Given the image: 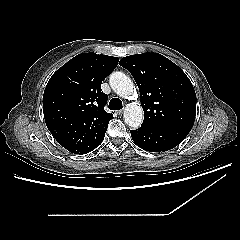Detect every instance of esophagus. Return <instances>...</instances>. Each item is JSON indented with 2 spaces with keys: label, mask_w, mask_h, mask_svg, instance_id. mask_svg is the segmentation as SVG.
<instances>
[{
  "label": "esophagus",
  "mask_w": 240,
  "mask_h": 240,
  "mask_svg": "<svg viewBox=\"0 0 240 240\" xmlns=\"http://www.w3.org/2000/svg\"><path fill=\"white\" fill-rule=\"evenodd\" d=\"M117 114H118V115H122V114H123V110H118V111H117Z\"/></svg>",
  "instance_id": "34e87169"
}]
</instances>
